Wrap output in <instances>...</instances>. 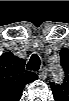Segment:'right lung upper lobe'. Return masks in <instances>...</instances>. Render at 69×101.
<instances>
[{"label":"right lung upper lobe","instance_id":"cb5924a9","mask_svg":"<svg viewBox=\"0 0 69 101\" xmlns=\"http://www.w3.org/2000/svg\"><path fill=\"white\" fill-rule=\"evenodd\" d=\"M0 78L2 94L19 100L26 84L37 79L33 72L25 70V60L15 57L11 52L0 58Z\"/></svg>","mask_w":69,"mask_h":101}]
</instances>
